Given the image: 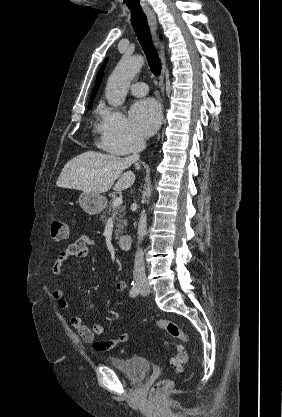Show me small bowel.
I'll use <instances>...</instances> for the list:
<instances>
[{"label":"small bowel","mask_w":282,"mask_h":417,"mask_svg":"<svg viewBox=\"0 0 282 417\" xmlns=\"http://www.w3.org/2000/svg\"><path fill=\"white\" fill-rule=\"evenodd\" d=\"M94 246V239L87 233L80 232L77 235L76 241L58 255L52 267V273L54 275H60L70 259L83 258L87 256L90 248H93ZM115 289L118 292H124L127 289V285L124 281H117L115 283ZM52 297L56 301L59 309L67 310L69 308L68 299L62 289H54L52 291ZM71 324L83 342H85L94 352L97 353L109 352L115 349L119 344L126 342L130 337L129 332H123L116 339H98L96 336L104 335L106 327L101 324L88 326L79 315L71 317Z\"/></svg>","instance_id":"c3829d8e"}]
</instances>
